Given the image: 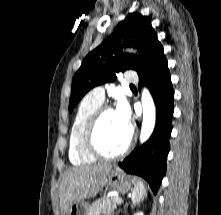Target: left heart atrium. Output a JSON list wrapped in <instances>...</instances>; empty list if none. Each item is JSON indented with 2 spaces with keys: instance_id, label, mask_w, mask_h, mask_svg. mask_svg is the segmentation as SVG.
I'll return each mask as SVG.
<instances>
[{
  "instance_id": "39dd6f15",
  "label": "left heart atrium",
  "mask_w": 221,
  "mask_h": 215,
  "mask_svg": "<svg viewBox=\"0 0 221 215\" xmlns=\"http://www.w3.org/2000/svg\"><path fill=\"white\" fill-rule=\"evenodd\" d=\"M115 114L121 125L127 129H131V113L126 101L121 100L115 110Z\"/></svg>"
}]
</instances>
